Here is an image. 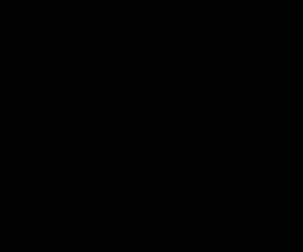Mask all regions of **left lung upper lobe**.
<instances>
[{"label": "left lung upper lobe", "mask_w": 303, "mask_h": 252, "mask_svg": "<svg viewBox=\"0 0 303 252\" xmlns=\"http://www.w3.org/2000/svg\"><path fill=\"white\" fill-rule=\"evenodd\" d=\"M220 140H221V139L215 138V139H214V142H217V141L219 142Z\"/></svg>", "instance_id": "obj_1"}]
</instances>
